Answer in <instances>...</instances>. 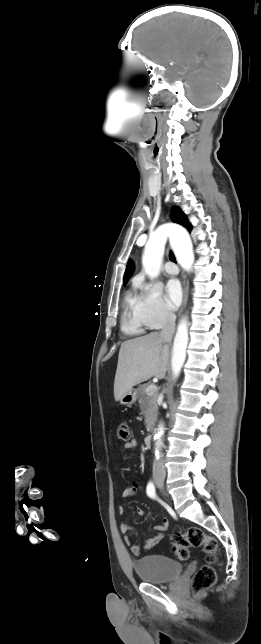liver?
<instances>
[{"label": "liver", "mask_w": 261, "mask_h": 644, "mask_svg": "<svg viewBox=\"0 0 261 644\" xmlns=\"http://www.w3.org/2000/svg\"><path fill=\"white\" fill-rule=\"evenodd\" d=\"M168 360L169 345L157 332L123 342L114 381L115 400L153 376L163 379Z\"/></svg>", "instance_id": "obj_1"}]
</instances>
